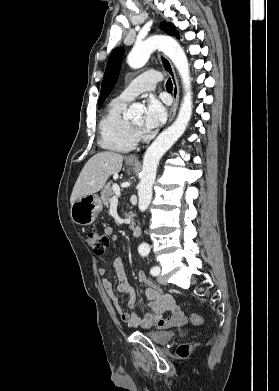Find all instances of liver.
I'll return each instance as SVG.
<instances>
[{
  "mask_svg": "<svg viewBox=\"0 0 279 391\" xmlns=\"http://www.w3.org/2000/svg\"><path fill=\"white\" fill-rule=\"evenodd\" d=\"M124 157L114 152H99L84 165L71 194V205L78 199L100 191L108 178L120 172Z\"/></svg>",
  "mask_w": 279,
  "mask_h": 391,
  "instance_id": "6515ba94",
  "label": "liver"
}]
</instances>
